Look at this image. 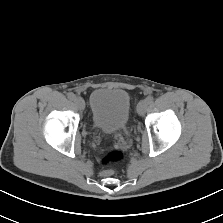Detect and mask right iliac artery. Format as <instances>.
<instances>
[{"label": "right iliac artery", "instance_id": "82829eb1", "mask_svg": "<svg viewBox=\"0 0 223 223\" xmlns=\"http://www.w3.org/2000/svg\"><path fill=\"white\" fill-rule=\"evenodd\" d=\"M67 96H68V98H69L70 100H74V99L76 98L75 94L72 93V92H69V93L67 94Z\"/></svg>", "mask_w": 223, "mask_h": 223}]
</instances>
